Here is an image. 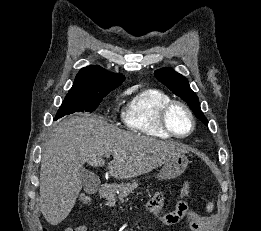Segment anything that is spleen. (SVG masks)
<instances>
[{
  "instance_id": "spleen-1",
  "label": "spleen",
  "mask_w": 261,
  "mask_h": 231,
  "mask_svg": "<svg viewBox=\"0 0 261 231\" xmlns=\"http://www.w3.org/2000/svg\"><path fill=\"white\" fill-rule=\"evenodd\" d=\"M213 209V203H209L208 205H207V210L208 211H211Z\"/></svg>"
}]
</instances>
